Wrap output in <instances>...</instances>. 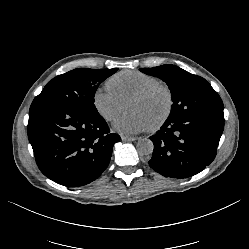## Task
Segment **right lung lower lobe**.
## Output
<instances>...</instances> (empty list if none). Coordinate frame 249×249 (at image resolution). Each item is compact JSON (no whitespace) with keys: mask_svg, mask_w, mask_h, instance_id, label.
Segmentation results:
<instances>
[{"mask_svg":"<svg viewBox=\"0 0 249 249\" xmlns=\"http://www.w3.org/2000/svg\"><path fill=\"white\" fill-rule=\"evenodd\" d=\"M28 138L41 172L68 187L97 179L110 162L113 145L120 140L118 134L110 133L98 112L69 106L31 110Z\"/></svg>","mask_w":249,"mask_h":249,"instance_id":"1","label":"right lung lower lobe"}]
</instances>
